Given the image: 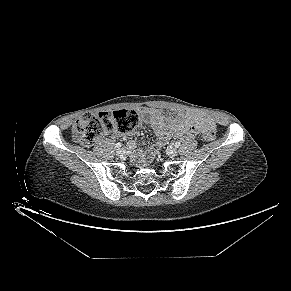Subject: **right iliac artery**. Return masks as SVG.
Wrapping results in <instances>:
<instances>
[{
    "label": "right iliac artery",
    "instance_id": "1",
    "mask_svg": "<svg viewBox=\"0 0 291 291\" xmlns=\"http://www.w3.org/2000/svg\"><path fill=\"white\" fill-rule=\"evenodd\" d=\"M121 146H122L121 143H117V144L115 145V147L118 148V149H119Z\"/></svg>",
    "mask_w": 291,
    "mask_h": 291
}]
</instances>
